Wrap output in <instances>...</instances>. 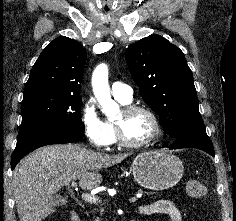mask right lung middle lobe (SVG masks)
<instances>
[{
    "label": "right lung middle lobe",
    "mask_w": 236,
    "mask_h": 221,
    "mask_svg": "<svg viewBox=\"0 0 236 221\" xmlns=\"http://www.w3.org/2000/svg\"><path fill=\"white\" fill-rule=\"evenodd\" d=\"M81 103L79 94L47 91L24 94L20 130L36 125H51L82 132Z\"/></svg>",
    "instance_id": "1"
}]
</instances>
